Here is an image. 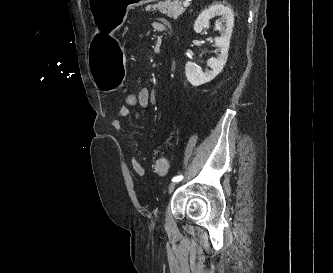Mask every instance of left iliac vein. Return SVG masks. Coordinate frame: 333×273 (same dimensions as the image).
<instances>
[{
	"label": "left iliac vein",
	"mask_w": 333,
	"mask_h": 273,
	"mask_svg": "<svg viewBox=\"0 0 333 273\" xmlns=\"http://www.w3.org/2000/svg\"><path fill=\"white\" fill-rule=\"evenodd\" d=\"M176 185H177V182H173V183H171V184L168 186V189H167L168 193H171V192L175 189Z\"/></svg>",
	"instance_id": "obj_1"
}]
</instances>
